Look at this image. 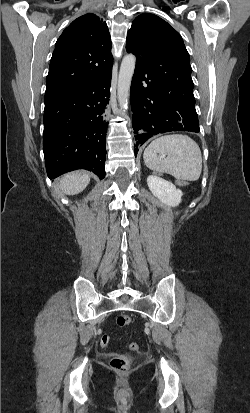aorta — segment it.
I'll return each mask as SVG.
<instances>
[{
  "label": "aorta",
  "mask_w": 250,
  "mask_h": 413,
  "mask_svg": "<svg viewBox=\"0 0 250 413\" xmlns=\"http://www.w3.org/2000/svg\"><path fill=\"white\" fill-rule=\"evenodd\" d=\"M136 57L133 54L126 55L121 63L118 78V102L122 111L128 108L131 80L135 70Z\"/></svg>",
  "instance_id": "762f6f07"
}]
</instances>
